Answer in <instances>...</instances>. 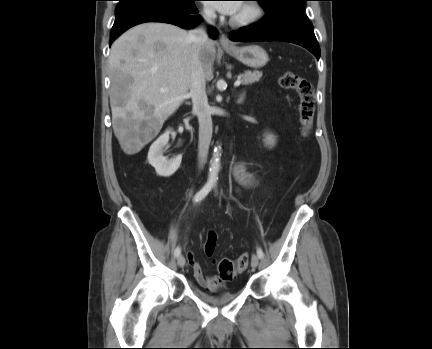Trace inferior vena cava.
<instances>
[{
    "mask_svg": "<svg viewBox=\"0 0 432 349\" xmlns=\"http://www.w3.org/2000/svg\"><path fill=\"white\" fill-rule=\"evenodd\" d=\"M215 12L206 9L203 18L207 24L213 23ZM190 41L193 43L191 59V84L189 96L192 99L193 113L198 116L199 121V142H198V162L203 167L207 160L209 145L212 138V119L206 95V79L204 68L200 61V50L209 41L205 26L199 25L189 32Z\"/></svg>",
    "mask_w": 432,
    "mask_h": 349,
    "instance_id": "inferior-vena-cava-1",
    "label": "inferior vena cava"
}]
</instances>
